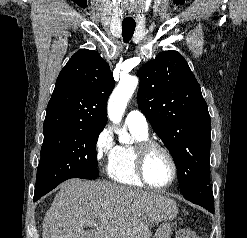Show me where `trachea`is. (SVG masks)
<instances>
[{
  "label": "trachea",
  "instance_id": "3493384b",
  "mask_svg": "<svg viewBox=\"0 0 247 238\" xmlns=\"http://www.w3.org/2000/svg\"><path fill=\"white\" fill-rule=\"evenodd\" d=\"M136 27L135 21H123L122 22V36L125 43H128L134 34Z\"/></svg>",
  "mask_w": 247,
  "mask_h": 238
}]
</instances>
